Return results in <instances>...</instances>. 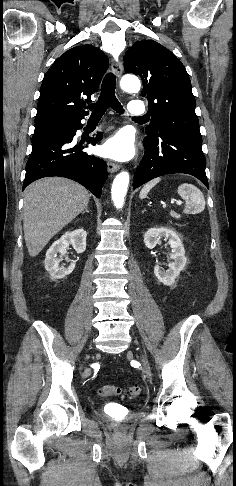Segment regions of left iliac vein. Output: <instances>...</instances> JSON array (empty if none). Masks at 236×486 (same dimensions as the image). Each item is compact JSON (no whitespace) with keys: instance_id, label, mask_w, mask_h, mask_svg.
Instances as JSON below:
<instances>
[{"instance_id":"left-iliac-vein-1","label":"left iliac vein","mask_w":236,"mask_h":486,"mask_svg":"<svg viewBox=\"0 0 236 486\" xmlns=\"http://www.w3.org/2000/svg\"><path fill=\"white\" fill-rule=\"evenodd\" d=\"M142 364L144 366L145 374H146L148 380H151V370H150L149 364H148V362L146 361L145 358H142Z\"/></svg>"}]
</instances>
